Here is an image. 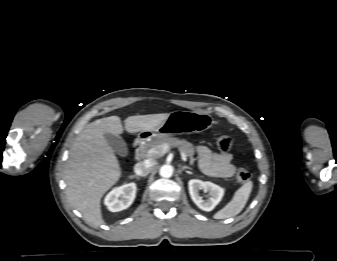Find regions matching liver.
I'll return each mask as SVG.
<instances>
[{
    "mask_svg": "<svg viewBox=\"0 0 337 261\" xmlns=\"http://www.w3.org/2000/svg\"><path fill=\"white\" fill-rule=\"evenodd\" d=\"M168 116L169 113L130 116L124 121L125 130L128 133L151 131ZM105 133L115 136L123 133L118 116L95 120L84 128L71 147L64 172L69 203L93 226L105 223L101 198L122 175Z\"/></svg>",
    "mask_w": 337,
    "mask_h": 261,
    "instance_id": "1",
    "label": "liver"
}]
</instances>
